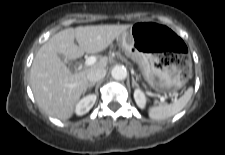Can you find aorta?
Returning <instances> with one entry per match:
<instances>
[{"label": "aorta", "instance_id": "1", "mask_svg": "<svg viewBox=\"0 0 225 155\" xmlns=\"http://www.w3.org/2000/svg\"><path fill=\"white\" fill-rule=\"evenodd\" d=\"M111 75L115 80H124L127 77V70L123 66H115L112 71Z\"/></svg>", "mask_w": 225, "mask_h": 155}]
</instances>
